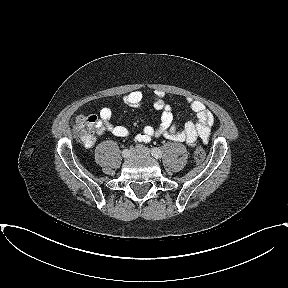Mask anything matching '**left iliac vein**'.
<instances>
[{
    "mask_svg": "<svg viewBox=\"0 0 288 288\" xmlns=\"http://www.w3.org/2000/svg\"><path fill=\"white\" fill-rule=\"evenodd\" d=\"M135 151H136L138 154L146 155V156H150V154H151V151H150L147 147L142 146V145L136 146Z\"/></svg>",
    "mask_w": 288,
    "mask_h": 288,
    "instance_id": "1",
    "label": "left iliac vein"
}]
</instances>
